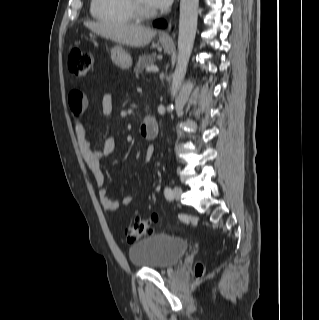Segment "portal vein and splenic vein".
Returning a JSON list of instances; mask_svg holds the SVG:
<instances>
[{"label": "portal vein and splenic vein", "instance_id": "portal-vein-and-splenic-vein-1", "mask_svg": "<svg viewBox=\"0 0 319 320\" xmlns=\"http://www.w3.org/2000/svg\"><path fill=\"white\" fill-rule=\"evenodd\" d=\"M146 71H147V72H158L159 69H158V67L152 65V66H150V67H147V68H146Z\"/></svg>", "mask_w": 319, "mask_h": 320}]
</instances>
